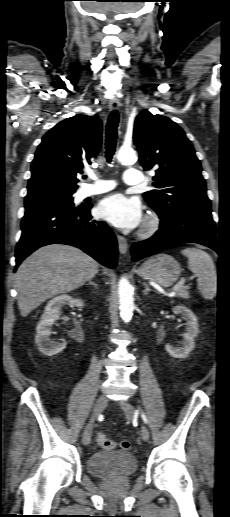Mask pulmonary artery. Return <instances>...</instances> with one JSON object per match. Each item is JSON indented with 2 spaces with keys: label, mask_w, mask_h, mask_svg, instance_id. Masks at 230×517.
<instances>
[{
  "label": "pulmonary artery",
  "mask_w": 230,
  "mask_h": 517,
  "mask_svg": "<svg viewBox=\"0 0 230 517\" xmlns=\"http://www.w3.org/2000/svg\"><path fill=\"white\" fill-rule=\"evenodd\" d=\"M95 184L90 185L85 188L84 195L85 196H93L102 194L112 190L115 187V183L111 181H106L94 177ZM143 181V176L141 172L136 168H127L124 173V182L127 185H138Z\"/></svg>",
  "instance_id": "obj_1"
}]
</instances>
